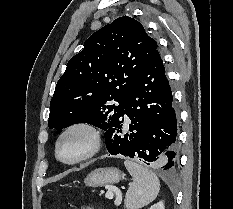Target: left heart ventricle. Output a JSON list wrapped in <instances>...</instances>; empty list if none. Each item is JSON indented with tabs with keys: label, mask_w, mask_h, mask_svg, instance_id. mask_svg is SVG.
<instances>
[{
	"label": "left heart ventricle",
	"mask_w": 233,
	"mask_h": 209,
	"mask_svg": "<svg viewBox=\"0 0 233 209\" xmlns=\"http://www.w3.org/2000/svg\"><path fill=\"white\" fill-rule=\"evenodd\" d=\"M90 145V138L83 131H73L67 134L59 146V155L66 160H72L84 153Z\"/></svg>",
	"instance_id": "b2bd125f"
}]
</instances>
